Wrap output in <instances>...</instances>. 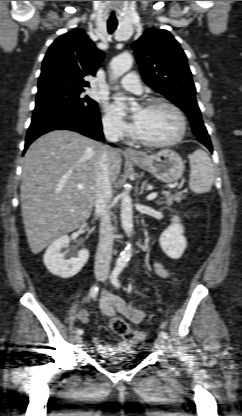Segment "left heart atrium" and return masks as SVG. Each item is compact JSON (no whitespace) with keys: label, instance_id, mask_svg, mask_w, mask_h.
Listing matches in <instances>:
<instances>
[{"label":"left heart atrium","instance_id":"left-heart-atrium-1","mask_svg":"<svg viewBox=\"0 0 242 416\" xmlns=\"http://www.w3.org/2000/svg\"><path fill=\"white\" fill-rule=\"evenodd\" d=\"M111 110H112V112H113L115 115H117V116H119V117H122V116L124 115V110H123V107H122L121 105H119V104H114V105H112V106H111ZM131 127H132V128H134V127H135V122L131 125Z\"/></svg>","mask_w":242,"mask_h":416}]
</instances>
